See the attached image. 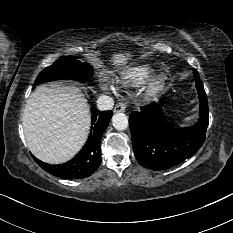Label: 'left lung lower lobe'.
Wrapping results in <instances>:
<instances>
[{"mask_svg": "<svg viewBox=\"0 0 233 233\" xmlns=\"http://www.w3.org/2000/svg\"><path fill=\"white\" fill-rule=\"evenodd\" d=\"M200 100L196 125L173 128L164 118L159 104L151 103L129 115L132 146L136 159L146 168L163 170L192 157L205 141L208 126V104L199 74L194 70Z\"/></svg>", "mask_w": 233, "mask_h": 233, "instance_id": "0a47b994", "label": "left lung lower lobe"}]
</instances>
